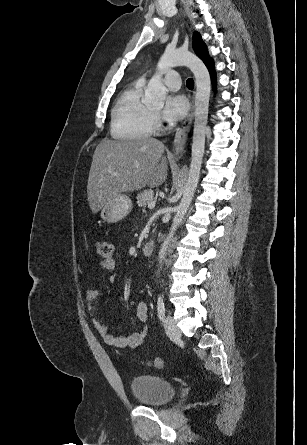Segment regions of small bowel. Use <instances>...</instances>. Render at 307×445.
Masks as SVG:
<instances>
[{
    "label": "small bowel",
    "mask_w": 307,
    "mask_h": 445,
    "mask_svg": "<svg viewBox=\"0 0 307 445\" xmlns=\"http://www.w3.org/2000/svg\"><path fill=\"white\" fill-rule=\"evenodd\" d=\"M100 266L105 271L110 273H114L117 269V263L114 258L103 259L100 262ZM98 296H99V291L97 289H90L87 291L86 300L88 308L90 310H93L94 303L97 300ZM136 313L137 317L141 321H146L148 318L147 304L145 302L138 303ZM93 323L99 334L104 339V341L108 345L114 346L119 349H133L139 347L143 343L147 333V328L143 327L140 332H135L128 335L115 336L110 332L109 328L104 324V322L101 319L95 318Z\"/></svg>",
    "instance_id": "obj_1"
}]
</instances>
